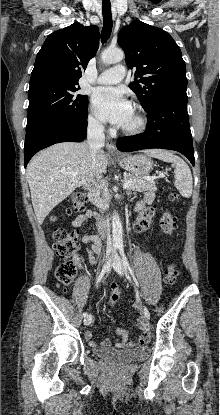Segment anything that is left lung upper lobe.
Wrapping results in <instances>:
<instances>
[{"instance_id": "1", "label": "left lung upper lobe", "mask_w": 220, "mask_h": 415, "mask_svg": "<svg viewBox=\"0 0 220 415\" xmlns=\"http://www.w3.org/2000/svg\"><path fill=\"white\" fill-rule=\"evenodd\" d=\"M127 66L135 71L130 89L147 109L166 93L186 91V65L174 39L164 30L135 20L118 35Z\"/></svg>"}]
</instances>
